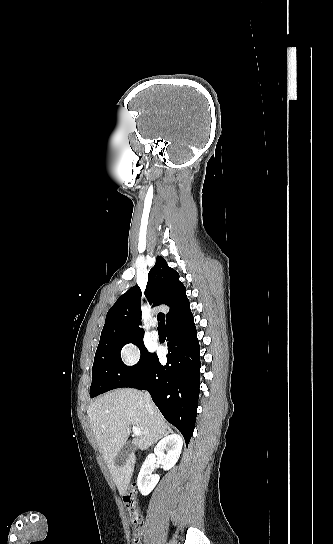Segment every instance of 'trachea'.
Masks as SVG:
<instances>
[{
    "mask_svg": "<svg viewBox=\"0 0 333 544\" xmlns=\"http://www.w3.org/2000/svg\"><path fill=\"white\" fill-rule=\"evenodd\" d=\"M157 319L159 321L158 323V329L165 330V314L164 313H158Z\"/></svg>",
    "mask_w": 333,
    "mask_h": 544,
    "instance_id": "trachea-1",
    "label": "trachea"
}]
</instances>
